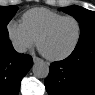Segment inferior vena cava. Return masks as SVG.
I'll list each match as a JSON object with an SVG mask.
<instances>
[{"label": "inferior vena cava", "instance_id": "602c4592", "mask_svg": "<svg viewBox=\"0 0 95 95\" xmlns=\"http://www.w3.org/2000/svg\"><path fill=\"white\" fill-rule=\"evenodd\" d=\"M13 47L15 51L18 53H25L27 51L26 46L20 42H14Z\"/></svg>", "mask_w": 95, "mask_h": 95}]
</instances>
